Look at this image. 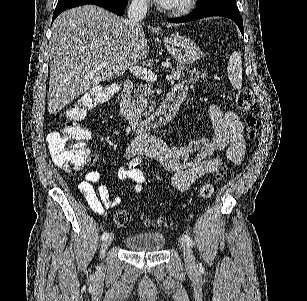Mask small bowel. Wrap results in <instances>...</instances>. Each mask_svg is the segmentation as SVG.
<instances>
[{"label": "small bowel", "instance_id": "c3829d8e", "mask_svg": "<svg viewBox=\"0 0 307 301\" xmlns=\"http://www.w3.org/2000/svg\"><path fill=\"white\" fill-rule=\"evenodd\" d=\"M174 90L184 96L186 94L184 85H177ZM209 113L213 127L211 138H200L184 147H168L160 140H145L146 138L140 137L129 147L128 157L140 153L151 155L166 171L172 174L170 183L179 191H185L197 179L217 172L221 160L214 157V154L219 151L226 150L227 158L234 166L241 164L246 142L244 124L239 116L232 110L223 112L217 106H212ZM118 177L121 180H133L135 182L134 191H142L145 176L135 166L129 164L121 166L118 170ZM100 180L101 175L98 171H90L79 184V191L91 210L97 214H103L105 208L115 207L121 202L119 197L110 198L106 185H97Z\"/></svg>", "mask_w": 307, "mask_h": 301}]
</instances>
